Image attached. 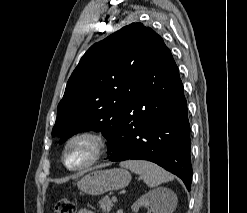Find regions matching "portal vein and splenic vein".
<instances>
[{"instance_id":"obj_1","label":"portal vein and splenic vein","mask_w":247,"mask_h":213,"mask_svg":"<svg viewBox=\"0 0 247 213\" xmlns=\"http://www.w3.org/2000/svg\"><path fill=\"white\" fill-rule=\"evenodd\" d=\"M112 200L113 201H117V197L116 196H112Z\"/></svg>"}]
</instances>
